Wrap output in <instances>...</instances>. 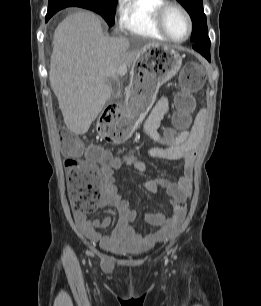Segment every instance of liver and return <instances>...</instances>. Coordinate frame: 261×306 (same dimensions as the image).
<instances>
[{"instance_id": "1", "label": "liver", "mask_w": 261, "mask_h": 306, "mask_svg": "<svg viewBox=\"0 0 261 306\" xmlns=\"http://www.w3.org/2000/svg\"><path fill=\"white\" fill-rule=\"evenodd\" d=\"M126 37L103 35L100 19L79 11L61 21L53 37L49 80L66 126L85 134L111 97L108 78H116L143 49ZM132 48V51H129Z\"/></svg>"}]
</instances>
